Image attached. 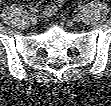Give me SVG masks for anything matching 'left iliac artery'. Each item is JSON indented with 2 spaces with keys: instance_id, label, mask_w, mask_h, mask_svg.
<instances>
[{
  "instance_id": "44dca946",
  "label": "left iliac artery",
  "mask_w": 111,
  "mask_h": 106,
  "mask_svg": "<svg viewBox=\"0 0 111 106\" xmlns=\"http://www.w3.org/2000/svg\"><path fill=\"white\" fill-rule=\"evenodd\" d=\"M78 9H82V5H78Z\"/></svg>"
}]
</instances>
